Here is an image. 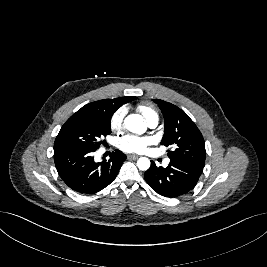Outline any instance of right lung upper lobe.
<instances>
[{
	"label": "right lung upper lobe",
	"instance_id": "1",
	"mask_svg": "<svg viewBox=\"0 0 267 267\" xmlns=\"http://www.w3.org/2000/svg\"><path fill=\"white\" fill-rule=\"evenodd\" d=\"M136 97H123L115 99H104L89 103L78 110L75 115H87L92 113L112 114L123 104L135 100Z\"/></svg>",
	"mask_w": 267,
	"mask_h": 267
}]
</instances>
